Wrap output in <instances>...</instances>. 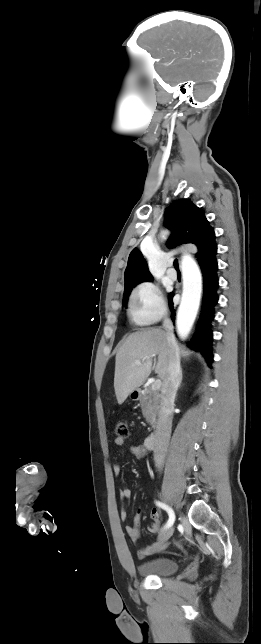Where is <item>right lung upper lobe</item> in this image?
Instances as JSON below:
<instances>
[{"instance_id": "cb5924a9", "label": "right lung upper lobe", "mask_w": 261, "mask_h": 644, "mask_svg": "<svg viewBox=\"0 0 261 644\" xmlns=\"http://www.w3.org/2000/svg\"><path fill=\"white\" fill-rule=\"evenodd\" d=\"M165 226L172 230L167 245L174 248L184 243L195 244L199 263L215 257L217 245L214 230L209 226L203 210L187 199L174 201L165 212ZM147 263L142 253L134 248L129 255L125 270V289L143 281H151ZM124 289V290H125Z\"/></svg>"}]
</instances>
